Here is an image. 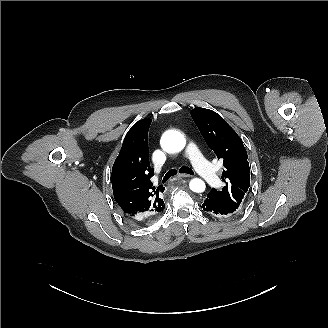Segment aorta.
<instances>
[{
  "label": "aorta",
  "instance_id": "aorta-1",
  "mask_svg": "<svg viewBox=\"0 0 328 328\" xmlns=\"http://www.w3.org/2000/svg\"><path fill=\"white\" fill-rule=\"evenodd\" d=\"M161 144L164 150L167 152H179L181 151L186 144V140L178 131L169 130L165 132L161 138ZM190 189L193 192L201 193L205 190V183L199 178H194L189 183Z\"/></svg>",
  "mask_w": 328,
  "mask_h": 328
}]
</instances>
